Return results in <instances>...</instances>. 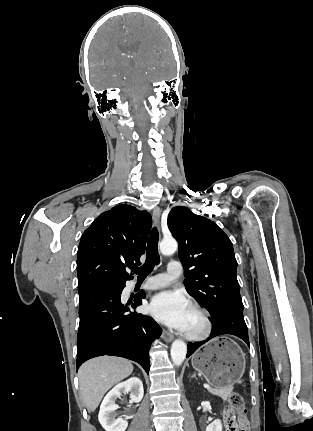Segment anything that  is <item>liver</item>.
<instances>
[{
  "label": "liver",
  "instance_id": "obj_1",
  "mask_svg": "<svg viewBox=\"0 0 313 431\" xmlns=\"http://www.w3.org/2000/svg\"><path fill=\"white\" fill-rule=\"evenodd\" d=\"M133 372L130 361L103 356L85 362L78 371L80 392L88 411L93 412L105 393Z\"/></svg>",
  "mask_w": 313,
  "mask_h": 431
}]
</instances>
